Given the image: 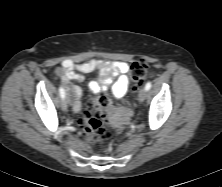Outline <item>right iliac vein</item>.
Instances as JSON below:
<instances>
[{
	"label": "right iliac vein",
	"instance_id": "obj_1",
	"mask_svg": "<svg viewBox=\"0 0 222 187\" xmlns=\"http://www.w3.org/2000/svg\"><path fill=\"white\" fill-rule=\"evenodd\" d=\"M68 103H69V99H68V98H65V99L62 100V102H61V108H62V110H64V111L67 110Z\"/></svg>",
	"mask_w": 222,
	"mask_h": 187
}]
</instances>
